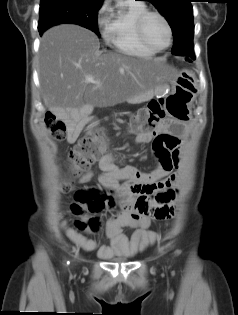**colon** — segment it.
Here are the masks:
<instances>
[{"label":"colon","instance_id":"1","mask_svg":"<svg viewBox=\"0 0 238 315\" xmlns=\"http://www.w3.org/2000/svg\"><path fill=\"white\" fill-rule=\"evenodd\" d=\"M165 118V111L162 107V100H153L147 107L135 113L129 123V129L134 134L150 133L160 127ZM46 128L52 137L61 141L64 139L67 127L66 124L52 114L45 118ZM106 146V133L102 128H96L92 132L79 139L73 150L69 153L68 164L73 174L87 169L104 150ZM89 199L84 192H79V201L88 202L90 211H97L103 206V201L96 196L95 192L89 194ZM77 210V208H75ZM95 227V222H92ZM81 227L82 225L79 224Z\"/></svg>","mask_w":238,"mask_h":315}]
</instances>
